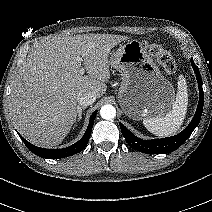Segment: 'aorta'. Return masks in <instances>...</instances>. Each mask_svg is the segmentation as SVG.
<instances>
[{"mask_svg":"<svg viewBox=\"0 0 212 212\" xmlns=\"http://www.w3.org/2000/svg\"><path fill=\"white\" fill-rule=\"evenodd\" d=\"M100 115L103 119L111 120L116 116V109L110 104L104 105L100 109Z\"/></svg>","mask_w":212,"mask_h":212,"instance_id":"aorta-1","label":"aorta"}]
</instances>
